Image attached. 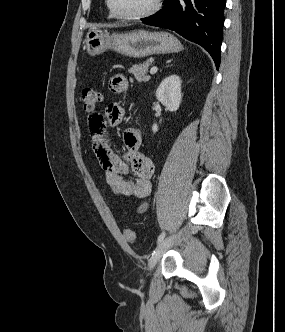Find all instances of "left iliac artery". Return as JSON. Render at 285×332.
Returning a JSON list of instances; mask_svg holds the SVG:
<instances>
[{
    "label": "left iliac artery",
    "mask_w": 285,
    "mask_h": 332,
    "mask_svg": "<svg viewBox=\"0 0 285 332\" xmlns=\"http://www.w3.org/2000/svg\"><path fill=\"white\" fill-rule=\"evenodd\" d=\"M165 232H162L160 235H159V237H158V239H157V242L158 243H160L161 241H163V239L165 238Z\"/></svg>",
    "instance_id": "1"
}]
</instances>
